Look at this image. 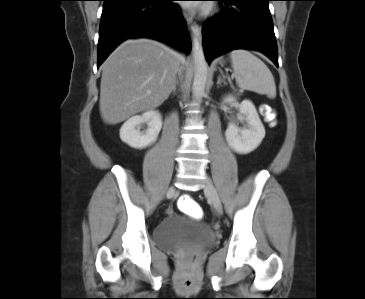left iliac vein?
Returning a JSON list of instances; mask_svg holds the SVG:
<instances>
[{"label": "left iliac vein", "mask_w": 365, "mask_h": 299, "mask_svg": "<svg viewBox=\"0 0 365 299\" xmlns=\"http://www.w3.org/2000/svg\"><path fill=\"white\" fill-rule=\"evenodd\" d=\"M204 192L206 193V195L211 200L215 210L219 214H221L222 213L221 200L219 198V195L217 193V190H216L215 186L213 185L212 181L208 177L204 181Z\"/></svg>", "instance_id": "1"}]
</instances>
